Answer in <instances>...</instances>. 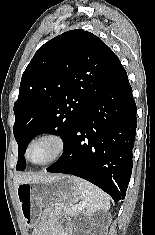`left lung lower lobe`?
<instances>
[{"label":"left lung lower lobe","instance_id":"obj_1","mask_svg":"<svg viewBox=\"0 0 155 235\" xmlns=\"http://www.w3.org/2000/svg\"><path fill=\"white\" fill-rule=\"evenodd\" d=\"M136 104L119 61L94 95L48 172L72 174L123 202L132 173Z\"/></svg>","mask_w":155,"mask_h":235}]
</instances>
